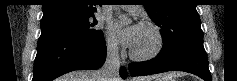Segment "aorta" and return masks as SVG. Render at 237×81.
Instances as JSON below:
<instances>
[{"label":"aorta","mask_w":237,"mask_h":81,"mask_svg":"<svg viewBox=\"0 0 237 81\" xmlns=\"http://www.w3.org/2000/svg\"><path fill=\"white\" fill-rule=\"evenodd\" d=\"M116 13H117V15H118V18H119L121 21L126 22L127 17H126L125 15H122L119 10L116 11Z\"/></svg>","instance_id":"1"}]
</instances>
